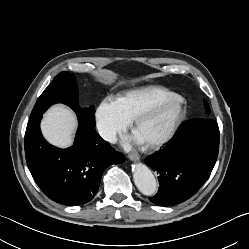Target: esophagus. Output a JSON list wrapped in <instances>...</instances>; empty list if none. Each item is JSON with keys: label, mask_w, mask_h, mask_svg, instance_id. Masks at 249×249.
I'll return each instance as SVG.
<instances>
[{"label": "esophagus", "mask_w": 249, "mask_h": 249, "mask_svg": "<svg viewBox=\"0 0 249 249\" xmlns=\"http://www.w3.org/2000/svg\"><path fill=\"white\" fill-rule=\"evenodd\" d=\"M128 158H129L131 161H139L140 156H139L138 153L133 152V153H130V154L128 155Z\"/></svg>", "instance_id": "1"}]
</instances>
